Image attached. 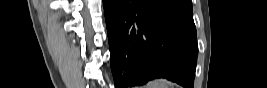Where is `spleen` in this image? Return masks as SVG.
Here are the masks:
<instances>
[{
	"mask_svg": "<svg viewBox=\"0 0 267 88\" xmlns=\"http://www.w3.org/2000/svg\"><path fill=\"white\" fill-rule=\"evenodd\" d=\"M144 88H169V84L165 79H155L148 82Z\"/></svg>",
	"mask_w": 267,
	"mask_h": 88,
	"instance_id": "obj_1",
	"label": "spleen"
}]
</instances>
